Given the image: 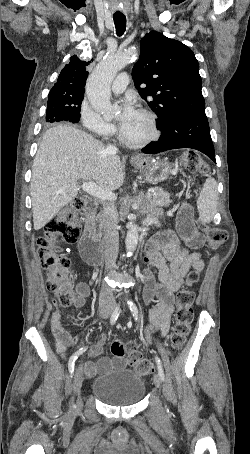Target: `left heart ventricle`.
I'll return each instance as SVG.
<instances>
[{
  "label": "left heart ventricle",
  "instance_id": "1",
  "mask_svg": "<svg viewBox=\"0 0 250 454\" xmlns=\"http://www.w3.org/2000/svg\"><path fill=\"white\" fill-rule=\"evenodd\" d=\"M125 138L131 141H139L150 134V127L146 118L139 112L133 119L121 129Z\"/></svg>",
  "mask_w": 250,
  "mask_h": 454
}]
</instances>
